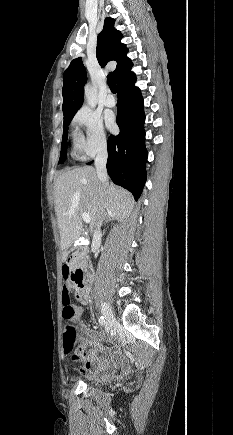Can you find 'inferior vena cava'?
Here are the masks:
<instances>
[{
    "label": "inferior vena cava",
    "instance_id": "inferior-vena-cava-1",
    "mask_svg": "<svg viewBox=\"0 0 233 435\" xmlns=\"http://www.w3.org/2000/svg\"><path fill=\"white\" fill-rule=\"evenodd\" d=\"M107 147L104 145L99 150L96 159H95V167H96V173L98 180L102 182L103 184L108 181V175L106 170V162H107ZM102 224L101 217L99 219V223L97 225V230L95 231L96 235H101L100 233V227Z\"/></svg>",
    "mask_w": 233,
    "mask_h": 435
}]
</instances>
